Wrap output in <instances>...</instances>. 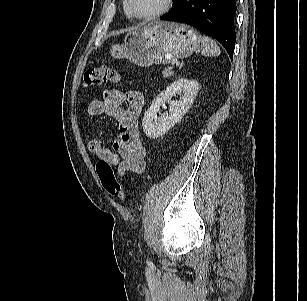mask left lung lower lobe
<instances>
[{
	"instance_id": "1",
	"label": "left lung lower lobe",
	"mask_w": 307,
	"mask_h": 301,
	"mask_svg": "<svg viewBox=\"0 0 307 301\" xmlns=\"http://www.w3.org/2000/svg\"><path fill=\"white\" fill-rule=\"evenodd\" d=\"M235 0H180L161 20L192 25L218 40L233 58L236 34Z\"/></svg>"
}]
</instances>
